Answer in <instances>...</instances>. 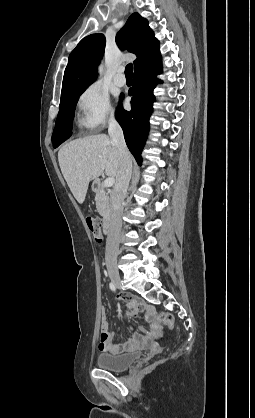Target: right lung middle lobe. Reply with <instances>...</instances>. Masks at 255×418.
Here are the masks:
<instances>
[{
  "label": "right lung middle lobe",
  "instance_id": "1",
  "mask_svg": "<svg viewBox=\"0 0 255 418\" xmlns=\"http://www.w3.org/2000/svg\"><path fill=\"white\" fill-rule=\"evenodd\" d=\"M86 88L77 89L61 94L59 113L56 125L52 135L53 147H58L67 140L72 133V124L75 113V107L79 96Z\"/></svg>",
  "mask_w": 255,
  "mask_h": 418
}]
</instances>
